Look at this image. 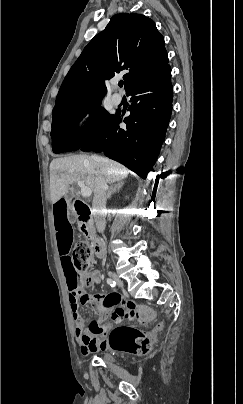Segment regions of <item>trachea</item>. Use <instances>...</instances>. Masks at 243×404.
<instances>
[{
	"label": "trachea",
	"instance_id": "trachea-1",
	"mask_svg": "<svg viewBox=\"0 0 243 404\" xmlns=\"http://www.w3.org/2000/svg\"><path fill=\"white\" fill-rule=\"evenodd\" d=\"M119 87H123V82H119Z\"/></svg>",
	"mask_w": 243,
	"mask_h": 404
}]
</instances>
